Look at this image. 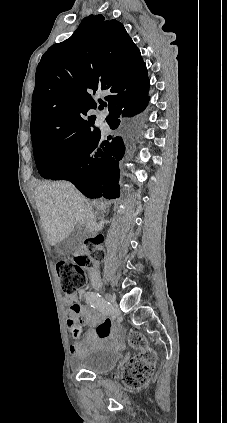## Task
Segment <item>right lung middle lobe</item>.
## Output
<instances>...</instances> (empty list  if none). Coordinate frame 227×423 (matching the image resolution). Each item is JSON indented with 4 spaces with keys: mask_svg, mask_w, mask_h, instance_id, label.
I'll return each mask as SVG.
<instances>
[{
    "mask_svg": "<svg viewBox=\"0 0 227 423\" xmlns=\"http://www.w3.org/2000/svg\"><path fill=\"white\" fill-rule=\"evenodd\" d=\"M94 134L48 136L32 142L37 169L45 179L64 180L71 175L91 148Z\"/></svg>",
    "mask_w": 227,
    "mask_h": 423,
    "instance_id": "dd1d6c3e",
    "label": "right lung middle lobe"
}]
</instances>
